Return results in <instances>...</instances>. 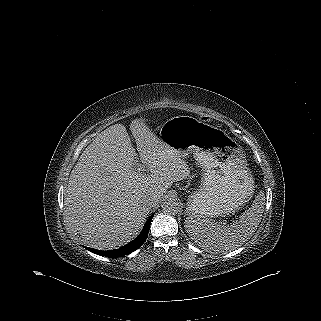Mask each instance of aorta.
<instances>
[{
	"instance_id": "aorta-1",
	"label": "aorta",
	"mask_w": 321,
	"mask_h": 321,
	"mask_svg": "<svg viewBox=\"0 0 321 321\" xmlns=\"http://www.w3.org/2000/svg\"><path fill=\"white\" fill-rule=\"evenodd\" d=\"M162 209L166 213L176 214L180 210V202L173 196H168L162 202Z\"/></svg>"
}]
</instances>
